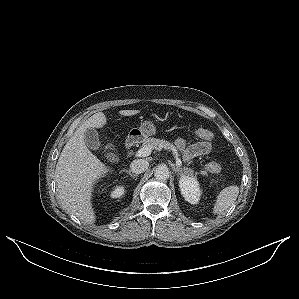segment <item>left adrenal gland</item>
<instances>
[{
  "instance_id": "left-adrenal-gland-1",
  "label": "left adrenal gland",
  "mask_w": 299,
  "mask_h": 299,
  "mask_svg": "<svg viewBox=\"0 0 299 299\" xmlns=\"http://www.w3.org/2000/svg\"><path fill=\"white\" fill-rule=\"evenodd\" d=\"M173 171L175 172V173H177L178 175H182L183 173H182V169L181 168H178V167H175L174 166V168H173Z\"/></svg>"
}]
</instances>
